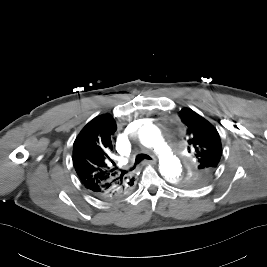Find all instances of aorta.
I'll return each instance as SVG.
<instances>
[{
	"mask_svg": "<svg viewBox=\"0 0 267 267\" xmlns=\"http://www.w3.org/2000/svg\"><path fill=\"white\" fill-rule=\"evenodd\" d=\"M139 139L145 147L154 148L158 154L162 176L170 183H178L182 176V165L164 142L160 130L152 124L144 125L139 130Z\"/></svg>",
	"mask_w": 267,
	"mask_h": 267,
	"instance_id": "1",
	"label": "aorta"
}]
</instances>
